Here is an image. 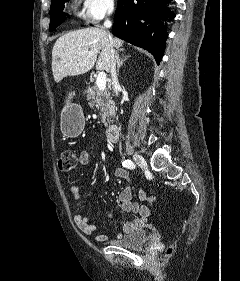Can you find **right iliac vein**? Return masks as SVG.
<instances>
[{
	"mask_svg": "<svg viewBox=\"0 0 240 281\" xmlns=\"http://www.w3.org/2000/svg\"><path fill=\"white\" fill-rule=\"evenodd\" d=\"M133 159L140 167H142V168L147 167V163H146L145 159L142 156H140L139 154H134Z\"/></svg>",
	"mask_w": 240,
	"mask_h": 281,
	"instance_id": "63e3f726",
	"label": "right iliac vein"
}]
</instances>
